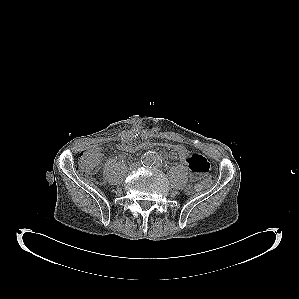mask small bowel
<instances>
[{
	"label": "small bowel",
	"instance_id": "obj_1",
	"mask_svg": "<svg viewBox=\"0 0 299 299\" xmlns=\"http://www.w3.org/2000/svg\"><path fill=\"white\" fill-rule=\"evenodd\" d=\"M125 146L122 151L136 152L134 146V136H128L124 139ZM189 167L192 172V179L196 180L200 175L205 174L209 170V163L202 155L188 151V156L185 160H182Z\"/></svg>",
	"mask_w": 299,
	"mask_h": 299
}]
</instances>
